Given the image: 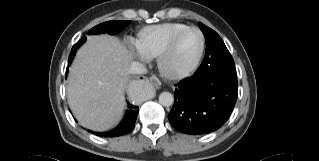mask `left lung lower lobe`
Returning <instances> with one entry per match:
<instances>
[{
	"instance_id": "left-lung-lower-lobe-1",
	"label": "left lung lower lobe",
	"mask_w": 319,
	"mask_h": 161,
	"mask_svg": "<svg viewBox=\"0 0 319 161\" xmlns=\"http://www.w3.org/2000/svg\"><path fill=\"white\" fill-rule=\"evenodd\" d=\"M238 95L236 76L213 72L181 80L168 118L181 133L202 135L219 129L229 118Z\"/></svg>"
}]
</instances>
